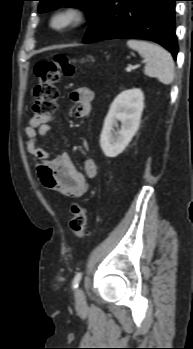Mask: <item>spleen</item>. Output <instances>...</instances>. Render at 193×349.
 <instances>
[{"instance_id":"3e777b00","label":"spleen","mask_w":193,"mask_h":349,"mask_svg":"<svg viewBox=\"0 0 193 349\" xmlns=\"http://www.w3.org/2000/svg\"><path fill=\"white\" fill-rule=\"evenodd\" d=\"M127 45L147 60L144 68L147 76L157 78L164 85L173 82L174 62L168 51L157 44L135 39L128 40Z\"/></svg>"}]
</instances>
